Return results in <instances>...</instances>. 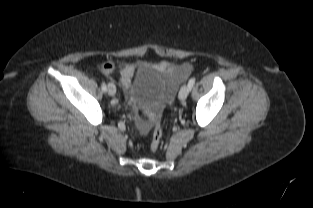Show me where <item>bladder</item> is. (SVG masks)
Returning a JSON list of instances; mask_svg holds the SVG:
<instances>
[{"mask_svg": "<svg viewBox=\"0 0 313 208\" xmlns=\"http://www.w3.org/2000/svg\"><path fill=\"white\" fill-rule=\"evenodd\" d=\"M169 84L157 72L141 71L128 90V99L134 106L161 111L168 96Z\"/></svg>", "mask_w": 313, "mask_h": 208, "instance_id": "bladder-1", "label": "bladder"}]
</instances>
